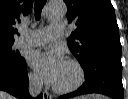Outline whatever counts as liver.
<instances>
[{"mask_svg":"<svg viewBox=\"0 0 128 99\" xmlns=\"http://www.w3.org/2000/svg\"><path fill=\"white\" fill-rule=\"evenodd\" d=\"M0 99H15V98L6 92L0 91ZM83 99H88V97H83ZM90 99H106V98L101 95H91Z\"/></svg>","mask_w":128,"mask_h":99,"instance_id":"liver-1","label":"liver"}]
</instances>
